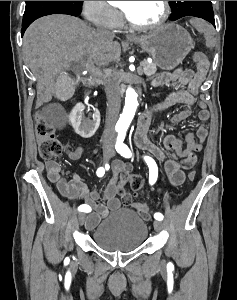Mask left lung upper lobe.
Instances as JSON below:
<instances>
[{"instance_id":"5c2ea615","label":"left lung upper lobe","mask_w":237,"mask_h":300,"mask_svg":"<svg viewBox=\"0 0 237 300\" xmlns=\"http://www.w3.org/2000/svg\"><path fill=\"white\" fill-rule=\"evenodd\" d=\"M172 7L171 20L184 16H194L207 19L214 17L211 1H170Z\"/></svg>"}]
</instances>
